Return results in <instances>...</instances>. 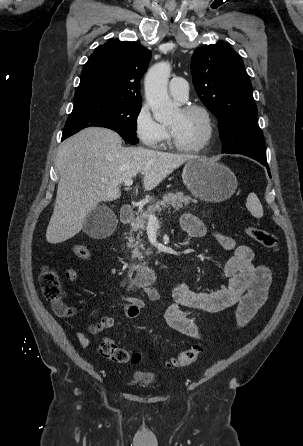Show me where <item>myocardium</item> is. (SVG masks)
<instances>
[{
    "instance_id": "f54148a6",
    "label": "myocardium",
    "mask_w": 303,
    "mask_h": 446,
    "mask_svg": "<svg viewBox=\"0 0 303 446\" xmlns=\"http://www.w3.org/2000/svg\"><path fill=\"white\" fill-rule=\"evenodd\" d=\"M181 110L185 113L197 112L202 115V117L204 118L205 124H206L205 136L199 143H197L195 145H191V146H186V145H182L176 141L172 131L168 127L169 143L174 149H176L177 151H180V152H184V153L200 152L210 144V142L212 141L213 136H214V123H213L212 115H211L210 111L205 106L200 105V104H187V105H184L181 108Z\"/></svg>"
}]
</instances>
